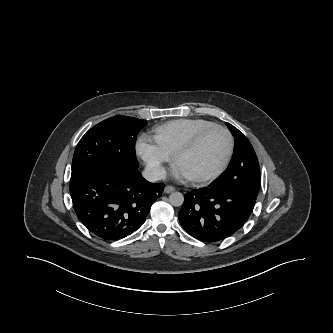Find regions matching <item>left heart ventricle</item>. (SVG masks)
I'll return each instance as SVG.
<instances>
[{
  "instance_id": "obj_1",
  "label": "left heart ventricle",
  "mask_w": 333,
  "mask_h": 333,
  "mask_svg": "<svg viewBox=\"0 0 333 333\" xmlns=\"http://www.w3.org/2000/svg\"><path fill=\"white\" fill-rule=\"evenodd\" d=\"M227 150L226 135L220 130H214L206 135L194 150L183 155L176 165L187 177L206 176L220 167Z\"/></svg>"
}]
</instances>
